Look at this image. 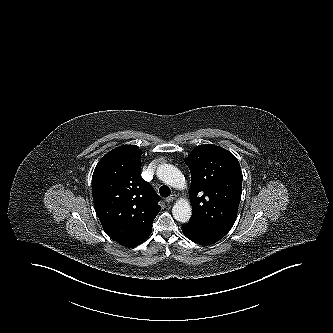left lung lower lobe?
Here are the masks:
<instances>
[{"instance_id": "obj_1", "label": "left lung lower lobe", "mask_w": 333, "mask_h": 333, "mask_svg": "<svg viewBox=\"0 0 333 333\" xmlns=\"http://www.w3.org/2000/svg\"><path fill=\"white\" fill-rule=\"evenodd\" d=\"M182 231L188 239L201 245L213 244L225 236L192 222L185 224Z\"/></svg>"}]
</instances>
